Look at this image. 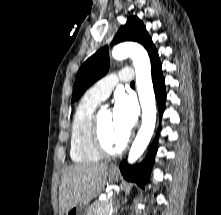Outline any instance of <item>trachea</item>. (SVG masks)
Here are the masks:
<instances>
[{"instance_id":"obj_1","label":"trachea","mask_w":221,"mask_h":215,"mask_svg":"<svg viewBox=\"0 0 221 215\" xmlns=\"http://www.w3.org/2000/svg\"><path fill=\"white\" fill-rule=\"evenodd\" d=\"M131 85H135V82L133 81V82H131Z\"/></svg>"}]
</instances>
